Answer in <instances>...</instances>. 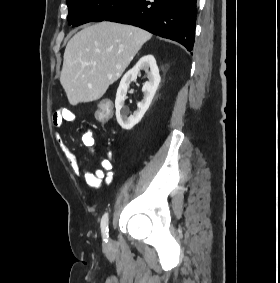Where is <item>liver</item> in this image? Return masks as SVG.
Returning <instances> with one entry per match:
<instances>
[{"label": "liver", "instance_id": "liver-1", "mask_svg": "<svg viewBox=\"0 0 280 283\" xmlns=\"http://www.w3.org/2000/svg\"><path fill=\"white\" fill-rule=\"evenodd\" d=\"M151 37L141 28L105 21L76 33L65 48L60 75L70 104L100 99Z\"/></svg>", "mask_w": 280, "mask_h": 283}]
</instances>
